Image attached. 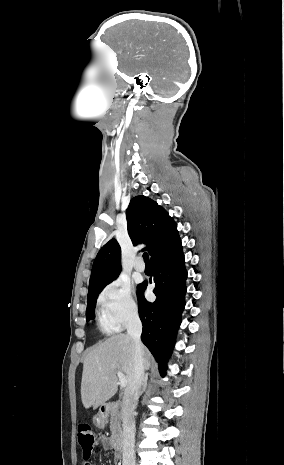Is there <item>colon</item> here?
<instances>
[{
    "instance_id": "1",
    "label": "colon",
    "mask_w": 284,
    "mask_h": 465,
    "mask_svg": "<svg viewBox=\"0 0 284 465\" xmlns=\"http://www.w3.org/2000/svg\"><path fill=\"white\" fill-rule=\"evenodd\" d=\"M78 438L81 447L82 458L88 460L91 457L92 449L95 443V436L88 424H82L78 427Z\"/></svg>"
}]
</instances>
